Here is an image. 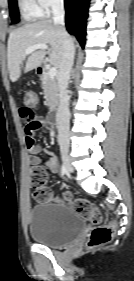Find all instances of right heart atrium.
<instances>
[{"mask_svg":"<svg viewBox=\"0 0 134 281\" xmlns=\"http://www.w3.org/2000/svg\"><path fill=\"white\" fill-rule=\"evenodd\" d=\"M43 13L49 14L59 8L64 0H36Z\"/></svg>","mask_w":134,"mask_h":281,"instance_id":"obj_1","label":"right heart atrium"}]
</instances>
